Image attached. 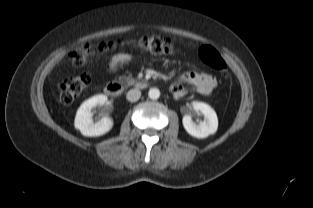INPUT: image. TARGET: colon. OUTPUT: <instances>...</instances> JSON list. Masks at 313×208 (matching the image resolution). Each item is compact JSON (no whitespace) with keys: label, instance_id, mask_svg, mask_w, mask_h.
<instances>
[{"label":"colon","instance_id":"colon-1","mask_svg":"<svg viewBox=\"0 0 313 208\" xmlns=\"http://www.w3.org/2000/svg\"><path fill=\"white\" fill-rule=\"evenodd\" d=\"M124 46H133L154 55H168L177 52L176 46L170 40L159 36H145L132 41L105 42L98 49L89 44H80L71 50L70 59L74 65L80 66L85 64L96 52L107 53L117 47ZM199 56L205 64L216 70L222 78H228L227 65L214 48L203 46L199 50ZM90 80V75L82 74L59 82L57 85L59 102L63 105L71 104L85 92Z\"/></svg>","mask_w":313,"mask_h":208}]
</instances>
